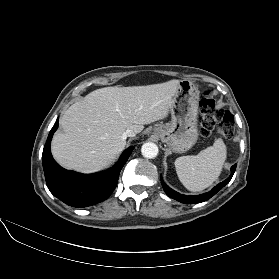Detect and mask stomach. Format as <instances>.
<instances>
[{"instance_id":"obj_1","label":"stomach","mask_w":279,"mask_h":279,"mask_svg":"<svg viewBox=\"0 0 279 279\" xmlns=\"http://www.w3.org/2000/svg\"><path fill=\"white\" fill-rule=\"evenodd\" d=\"M198 103L197 87L189 80H181L171 102V122L154 127V134L174 152H186L198 139Z\"/></svg>"}]
</instances>
